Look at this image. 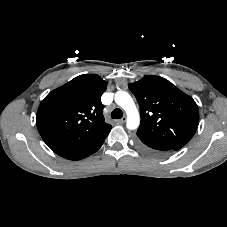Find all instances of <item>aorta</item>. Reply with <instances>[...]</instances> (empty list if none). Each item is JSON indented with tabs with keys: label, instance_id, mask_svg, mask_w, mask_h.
<instances>
[{
	"label": "aorta",
	"instance_id": "1",
	"mask_svg": "<svg viewBox=\"0 0 227 227\" xmlns=\"http://www.w3.org/2000/svg\"><path fill=\"white\" fill-rule=\"evenodd\" d=\"M115 102L127 114V128L130 130L137 129L140 124V116L132 97L127 92L118 91L115 94Z\"/></svg>",
	"mask_w": 227,
	"mask_h": 227
}]
</instances>
